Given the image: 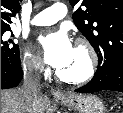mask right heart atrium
Listing matches in <instances>:
<instances>
[{"mask_svg": "<svg viewBox=\"0 0 123 113\" xmlns=\"http://www.w3.org/2000/svg\"><path fill=\"white\" fill-rule=\"evenodd\" d=\"M22 62L24 69L29 73L37 74L43 70L41 59L29 49L24 52Z\"/></svg>", "mask_w": 123, "mask_h": 113, "instance_id": "d8ad5b80", "label": "right heart atrium"}]
</instances>
